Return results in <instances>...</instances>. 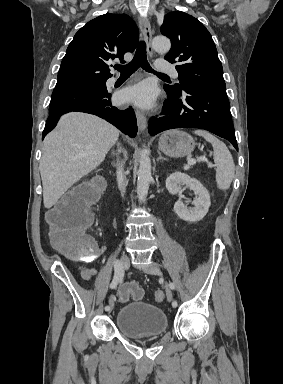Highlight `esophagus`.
<instances>
[{"instance_id":"1","label":"esophagus","mask_w":283,"mask_h":384,"mask_svg":"<svg viewBox=\"0 0 283 384\" xmlns=\"http://www.w3.org/2000/svg\"><path fill=\"white\" fill-rule=\"evenodd\" d=\"M139 27L142 32L144 41L146 42L147 52L150 56H152L154 54V51L152 48V31L150 22L146 18L140 17ZM135 113L137 117L138 129L142 131L146 127V115L138 109L135 111Z\"/></svg>"}]
</instances>
